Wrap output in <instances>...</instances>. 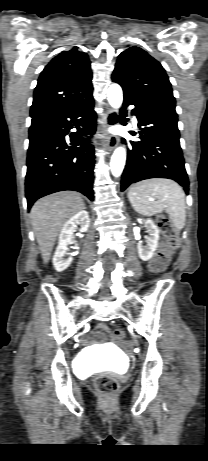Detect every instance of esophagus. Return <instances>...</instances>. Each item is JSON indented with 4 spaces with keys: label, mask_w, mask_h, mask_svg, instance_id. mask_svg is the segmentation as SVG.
I'll use <instances>...</instances> for the list:
<instances>
[{
    "label": "esophagus",
    "mask_w": 208,
    "mask_h": 461,
    "mask_svg": "<svg viewBox=\"0 0 208 461\" xmlns=\"http://www.w3.org/2000/svg\"><path fill=\"white\" fill-rule=\"evenodd\" d=\"M118 117L115 110L110 109L106 112L103 122V132L105 136L104 148L108 151H112L118 144L119 138L116 135L110 134L108 129L117 123Z\"/></svg>",
    "instance_id": "34e87169"
}]
</instances>
